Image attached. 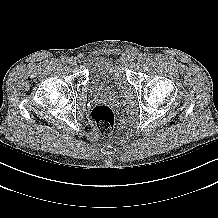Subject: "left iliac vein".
Returning a JSON list of instances; mask_svg holds the SVG:
<instances>
[{
	"label": "left iliac vein",
	"instance_id": "left-iliac-vein-1",
	"mask_svg": "<svg viewBox=\"0 0 218 218\" xmlns=\"http://www.w3.org/2000/svg\"><path fill=\"white\" fill-rule=\"evenodd\" d=\"M137 61L139 64H142L144 61H145V56L140 54L138 57H137Z\"/></svg>",
	"mask_w": 218,
	"mask_h": 218
}]
</instances>
